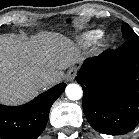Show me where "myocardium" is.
I'll use <instances>...</instances> for the list:
<instances>
[{
	"instance_id": "obj_1",
	"label": "myocardium",
	"mask_w": 139,
	"mask_h": 139,
	"mask_svg": "<svg viewBox=\"0 0 139 139\" xmlns=\"http://www.w3.org/2000/svg\"><path fill=\"white\" fill-rule=\"evenodd\" d=\"M111 42H112V37L111 36H105V37L102 38V44L103 45H108Z\"/></svg>"
}]
</instances>
